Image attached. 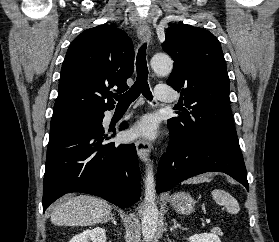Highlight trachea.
Returning a JSON list of instances; mask_svg holds the SVG:
<instances>
[{"instance_id":"obj_1","label":"trachea","mask_w":279,"mask_h":242,"mask_svg":"<svg viewBox=\"0 0 279 242\" xmlns=\"http://www.w3.org/2000/svg\"><path fill=\"white\" fill-rule=\"evenodd\" d=\"M137 78L131 88L121 95H114L115 100L118 101L119 106L130 105L142 93L148 100H152V93L148 85V68L146 63V43H144L136 58Z\"/></svg>"}]
</instances>
